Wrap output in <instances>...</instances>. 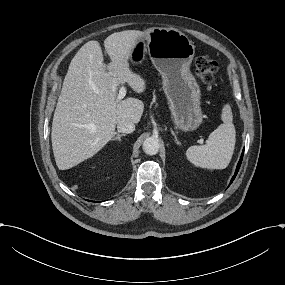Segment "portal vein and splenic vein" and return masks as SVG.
Listing matches in <instances>:
<instances>
[{"mask_svg":"<svg viewBox=\"0 0 285 285\" xmlns=\"http://www.w3.org/2000/svg\"><path fill=\"white\" fill-rule=\"evenodd\" d=\"M126 95V88L124 86H122L120 89H119V94L117 96V99L118 100H122Z\"/></svg>","mask_w":285,"mask_h":285,"instance_id":"1","label":"portal vein and splenic vein"}]
</instances>
